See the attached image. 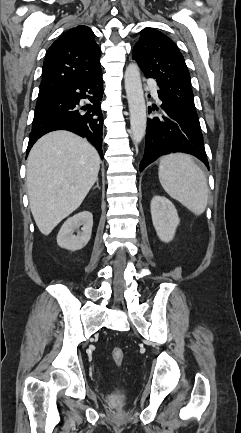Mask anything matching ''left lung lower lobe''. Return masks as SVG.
Returning <instances> with one entry per match:
<instances>
[{"label": "left lung lower lobe", "mask_w": 241, "mask_h": 433, "mask_svg": "<svg viewBox=\"0 0 241 433\" xmlns=\"http://www.w3.org/2000/svg\"><path fill=\"white\" fill-rule=\"evenodd\" d=\"M162 103L149 107L157 114L147 119L145 152L140 163L142 171L158 157L172 152L192 154L209 169L201 128L190 122L166 97L158 92Z\"/></svg>", "instance_id": "0a47b994"}]
</instances>
